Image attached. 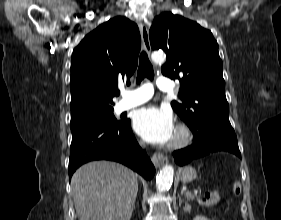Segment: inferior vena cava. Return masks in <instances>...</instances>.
<instances>
[{"instance_id":"602c4592","label":"inferior vena cava","mask_w":281,"mask_h":220,"mask_svg":"<svg viewBox=\"0 0 281 220\" xmlns=\"http://www.w3.org/2000/svg\"><path fill=\"white\" fill-rule=\"evenodd\" d=\"M141 146H142V147H144V144H143V143H141Z\"/></svg>"}]
</instances>
